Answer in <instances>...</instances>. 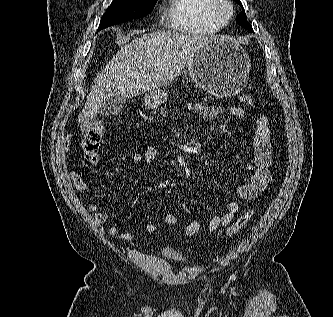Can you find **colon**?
I'll return each mask as SVG.
<instances>
[{
	"label": "colon",
	"mask_w": 333,
	"mask_h": 317,
	"mask_svg": "<svg viewBox=\"0 0 333 317\" xmlns=\"http://www.w3.org/2000/svg\"><path fill=\"white\" fill-rule=\"evenodd\" d=\"M239 101L245 106H252L253 99L249 94H241ZM102 139L101 128L98 124H92L87 127L81 138V147L87 157L91 156L100 147ZM255 210L253 208L247 209L233 224H231L225 231L227 237H231L244 228L254 216Z\"/></svg>",
	"instance_id": "5ec220e1"
}]
</instances>
